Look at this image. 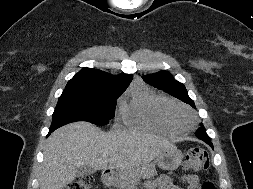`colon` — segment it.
Listing matches in <instances>:
<instances>
[{
	"instance_id": "1",
	"label": "colon",
	"mask_w": 253,
	"mask_h": 189,
	"mask_svg": "<svg viewBox=\"0 0 253 189\" xmlns=\"http://www.w3.org/2000/svg\"><path fill=\"white\" fill-rule=\"evenodd\" d=\"M185 168L188 170H209V154L201 147H194L187 153ZM93 178L91 176L81 177L70 183L66 189H92ZM201 189H215L212 181H205Z\"/></svg>"
}]
</instances>
